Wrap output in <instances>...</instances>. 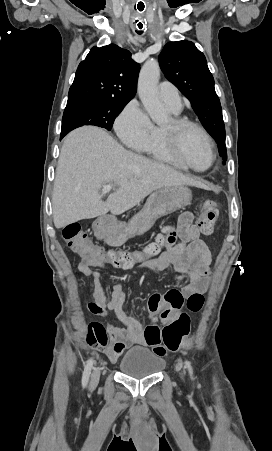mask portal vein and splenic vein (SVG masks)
<instances>
[{"instance_id":"portal-vein-and-splenic-vein-1","label":"portal vein and splenic vein","mask_w":272,"mask_h":451,"mask_svg":"<svg viewBox=\"0 0 272 451\" xmlns=\"http://www.w3.org/2000/svg\"><path fill=\"white\" fill-rule=\"evenodd\" d=\"M110 190H112V186L111 184H109V186H103V194H106V192H110Z\"/></svg>"}]
</instances>
